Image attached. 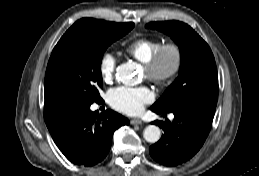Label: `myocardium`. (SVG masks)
<instances>
[{
  "instance_id": "obj_1",
  "label": "myocardium",
  "mask_w": 259,
  "mask_h": 176,
  "mask_svg": "<svg viewBox=\"0 0 259 176\" xmlns=\"http://www.w3.org/2000/svg\"><path fill=\"white\" fill-rule=\"evenodd\" d=\"M167 55L172 56L170 66L164 65ZM144 70L146 77L160 86H168L172 84L179 75L183 65V52L179 44L176 42H168L162 44L145 63Z\"/></svg>"
}]
</instances>
